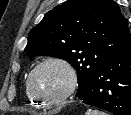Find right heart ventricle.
I'll use <instances>...</instances> for the list:
<instances>
[{
	"instance_id": "obj_1",
	"label": "right heart ventricle",
	"mask_w": 131,
	"mask_h": 115,
	"mask_svg": "<svg viewBox=\"0 0 131 115\" xmlns=\"http://www.w3.org/2000/svg\"><path fill=\"white\" fill-rule=\"evenodd\" d=\"M25 92H26V95H27L28 100H29L32 104L40 105V104H38V102L29 94V92H28V90H27L26 84H25Z\"/></svg>"
}]
</instances>
